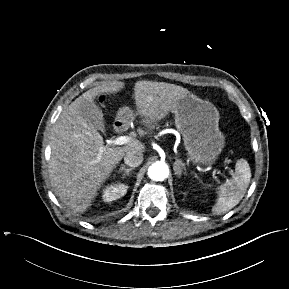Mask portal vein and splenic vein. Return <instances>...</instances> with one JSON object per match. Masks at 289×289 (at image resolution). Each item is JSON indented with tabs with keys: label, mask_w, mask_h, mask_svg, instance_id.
<instances>
[{
	"label": "portal vein and splenic vein",
	"mask_w": 289,
	"mask_h": 289,
	"mask_svg": "<svg viewBox=\"0 0 289 289\" xmlns=\"http://www.w3.org/2000/svg\"><path fill=\"white\" fill-rule=\"evenodd\" d=\"M131 140V137L129 136H119L117 137L116 139H114L113 141H111L110 145H123V144H126L128 143L129 141ZM228 173L230 175L233 174V171L232 170H228ZM218 181V179H216Z\"/></svg>",
	"instance_id": "obj_1"
}]
</instances>
